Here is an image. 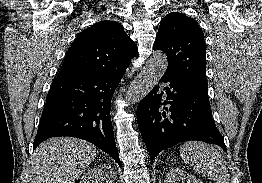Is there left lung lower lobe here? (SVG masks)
I'll list each match as a JSON object with an SVG mask.
<instances>
[{
	"instance_id": "left-lung-lower-lobe-1",
	"label": "left lung lower lobe",
	"mask_w": 262,
	"mask_h": 183,
	"mask_svg": "<svg viewBox=\"0 0 262 183\" xmlns=\"http://www.w3.org/2000/svg\"><path fill=\"white\" fill-rule=\"evenodd\" d=\"M159 82L169 83V86L156 85L137 109L139 130L151 161L162 150L190 140L216 144L226 151L212 118L208 90L167 71Z\"/></svg>"
}]
</instances>
